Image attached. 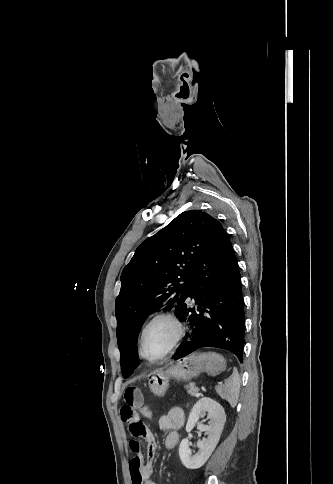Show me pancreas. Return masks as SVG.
I'll return each instance as SVG.
<instances>
[{
    "instance_id": "1",
    "label": "pancreas",
    "mask_w": 333,
    "mask_h": 484,
    "mask_svg": "<svg viewBox=\"0 0 333 484\" xmlns=\"http://www.w3.org/2000/svg\"><path fill=\"white\" fill-rule=\"evenodd\" d=\"M185 388L190 395H194L196 387L193 384L186 385Z\"/></svg>"
}]
</instances>
